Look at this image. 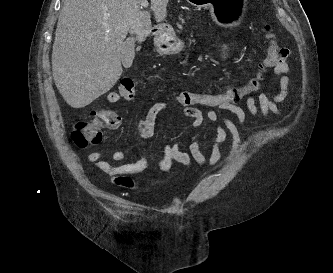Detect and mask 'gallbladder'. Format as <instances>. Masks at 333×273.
<instances>
[{
	"label": "gallbladder",
	"mask_w": 333,
	"mask_h": 273,
	"mask_svg": "<svg viewBox=\"0 0 333 273\" xmlns=\"http://www.w3.org/2000/svg\"><path fill=\"white\" fill-rule=\"evenodd\" d=\"M135 47V39L129 38L122 44V50H121V61L125 68H130L133 63V59L135 56L134 52Z\"/></svg>",
	"instance_id": "1"
}]
</instances>
